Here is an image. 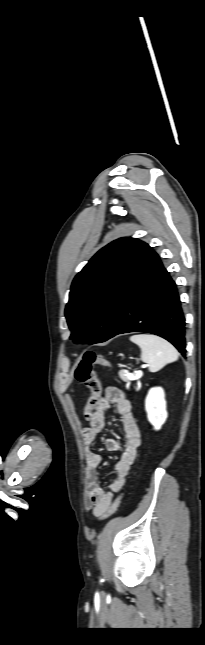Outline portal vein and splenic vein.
I'll return each instance as SVG.
<instances>
[{
  "instance_id": "portal-vein-and-splenic-vein-1",
  "label": "portal vein and splenic vein",
  "mask_w": 205,
  "mask_h": 645,
  "mask_svg": "<svg viewBox=\"0 0 205 645\" xmlns=\"http://www.w3.org/2000/svg\"><path fill=\"white\" fill-rule=\"evenodd\" d=\"M146 367H147V365H143V366H142V368H146ZM127 375H128L130 378H132V379H134V378H135V376H134L133 374H131V373H127ZM139 375H141V371H140V370H139V371H137L136 377H137V376H139Z\"/></svg>"
}]
</instances>
